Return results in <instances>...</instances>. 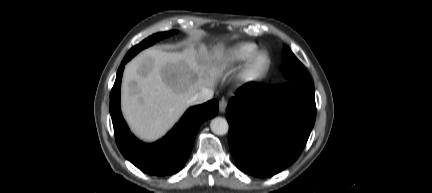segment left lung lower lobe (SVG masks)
I'll return each mask as SVG.
<instances>
[{"instance_id": "left-lung-lower-lobe-1", "label": "left lung lower lobe", "mask_w": 432, "mask_h": 193, "mask_svg": "<svg viewBox=\"0 0 432 193\" xmlns=\"http://www.w3.org/2000/svg\"><path fill=\"white\" fill-rule=\"evenodd\" d=\"M226 111L237 167L270 177L301 154L315 122V91L309 82L251 83L236 91Z\"/></svg>"}]
</instances>
